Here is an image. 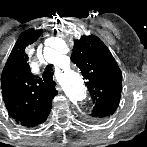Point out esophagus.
I'll return each mask as SVG.
<instances>
[{"mask_svg": "<svg viewBox=\"0 0 147 147\" xmlns=\"http://www.w3.org/2000/svg\"><path fill=\"white\" fill-rule=\"evenodd\" d=\"M55 82H56V87H58L59 89H61L60 88V83H59L58 79H55Z\"/></svg>", "mask_w": 147, "mask_h": 147, "instance_id": "obj_1", "label": "esophagus"}]
</instances>
